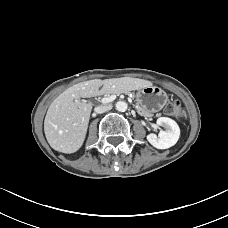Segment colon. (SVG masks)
<instances>
[{"instance_id":"obj_1","label":"colon","mask_w":228,"mask_h":228,"mask_svg":"<svg viewBox=\"0 0 228 228\" xmlns=\"http://www.w3.org/2000/svg\"><path fill=\"white\" fill-rule=\"evenodd\" d=\"M165 112L172 116H180L181 107L177 100H170L165 105Z\"/></svg>"}]
</instances>
